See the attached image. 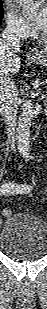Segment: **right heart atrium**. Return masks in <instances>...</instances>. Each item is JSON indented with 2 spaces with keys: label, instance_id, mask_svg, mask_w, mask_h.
I'll use <instances>...</instances> for the list:
<instances>
[{
  "label": "right heart atrium",
  "instance_id": "1",
  "mask_svg": "<svg viewBox=\"0 0 47 309\" xmlns=\"http://www.w3.org/2000/svg\"><path fill=\"white\" fill-rule=\"evenodd\" d=\"M6 23L8 30L19 38H26L31 35L30 26L16 13L12 6L7 7Z\"/></svg>",
  "mask_w": 47,
  "mask_h": 309
}]
</instances>
